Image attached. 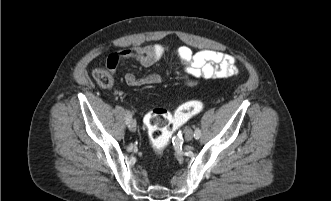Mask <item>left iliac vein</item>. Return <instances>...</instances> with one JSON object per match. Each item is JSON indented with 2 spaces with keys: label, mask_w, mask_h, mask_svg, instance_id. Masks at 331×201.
Here are the masks:
<instances>
[{
  "label": "left iliac vein",
  "mask_w": 331,
  "mask_h": 201,
  "mask_svg": "<svg viewBox=\"0 0 331 201\" xmlns=\"http://www.w3.org/2000/svg\"><path fill=\"white\" fill-rule=\"evenodd\" d=\"M184 137H185V140H187V141L192 140L193 137H194V132H193V130H192L191 128L187 129V130L185 131V135H184Z\"/></svg>",
  "instance_id": "1"
}]
</instances>
